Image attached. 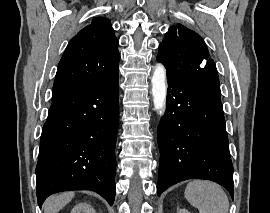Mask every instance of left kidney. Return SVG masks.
<instances>
[{
    "instance_id": "left-kidney-1",
    "label": "left kidney",
    "mask_w": 270,
    "mask_h": 213,
    "mask_svg": "<svg viewBox=\"0 0 270 213\" xmlns=\"http://www.w3.org/2000/svg\"><path fill=\"white\" fill-rule=\"evenodd\" d=\"M178 213H190V212L186 209H180L178 210Z\"/></svg>"
}]
</instances>
